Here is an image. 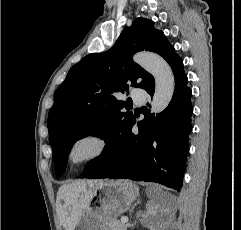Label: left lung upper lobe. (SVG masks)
I'll use <instances>...</instances> for the list:
<instances>
[{"instance_id": "obj_1", "label": "left lung upper lobe", "mask_w": 241, "mask_h": 230, "mask_svg": "<svg viewBox=\"0 0 241 230\" xmlns=\"http://www.w3.org/2000/svg\"><path fill=\"white\" fill-rule=\"evenodd\" d=\"M143 50L159 54L168 63L177 55L153 21L139 17L124 28L110 50L89 54L69 70L54 93L47 122L57 177L64 173L77 140L93 135L107 144L134 119L131 112L121 111L127 103L115 94L128 91L130 85L145 89L154 81L132 61L133 54Z\"/></svg>"}]
</instances>
